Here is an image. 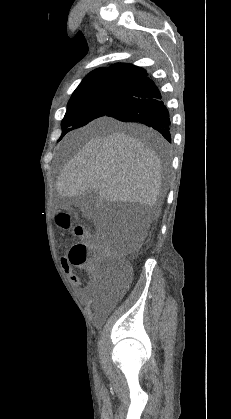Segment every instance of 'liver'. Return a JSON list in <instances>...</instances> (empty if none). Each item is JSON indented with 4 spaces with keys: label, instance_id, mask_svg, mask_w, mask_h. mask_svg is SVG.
I'll return each instance as SVG.
<instances>
[{
    "label": "liver",
    "instance_id": "1",
    "mask_svg": "<svg viewBox=\"0 0 231 419\" xmlns=\"http://www.w3.org/2000/svg\"><path fill=\"white\" fill-rule=\"evenodd\" d=\"M111 133L96 135L66 164L56 183L64 197L82 196L94 189L100 199L139 203L147 208L145 225L136 235V245L145 238L150 221L159 215L162 182L160 159L140 140L129 137L124 125L101 119ZM140 236V238H139Z\"/></svg>",
    "mask_w": 231,
    "mask_h": 419
}]
</instances>
